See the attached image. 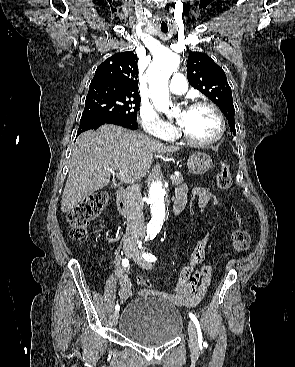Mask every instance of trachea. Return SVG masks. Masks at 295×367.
I'll use <instances>...</instances> for the list:
<instances>
[{
  "instance_id": "obj_1",
  "label": "trachea",
  "mask_w": 295,
  "mask_h": 367,
  "mask_svg": "<svg viewBox=\"0 0 295 367\" xmlns=\"http://www.w3.org/2000/svg\"><path fill=\"white\" fill-rule=\"evenodd\" d=\"M161 31L163 33H167L168 32V27L167 26H164V27L161 26Z\"/></svg>"
}]
</instances>
